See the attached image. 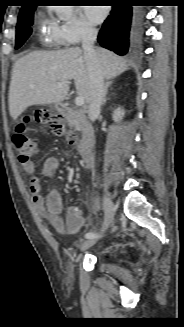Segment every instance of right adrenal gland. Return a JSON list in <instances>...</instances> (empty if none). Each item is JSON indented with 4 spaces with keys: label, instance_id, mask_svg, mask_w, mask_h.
Segmentation results:
<instances>
[{
    "label": "right adrenal gland",
    "instance_id": "2a0ac1e0",
    "mask_svg": "<svg viewBox=\"0 0 184 327\" xmlns=\"http://www.w3.org/2000/svg\"><path fill=\"white\" fill-rule=\"evenodd\" d=\"M111 82H107L105 84V91H104V96H103V101H102V105H105V103L107 102V94H108V88L110 87Z\"/></svg>",
    "mask_w": 184,
    "mask_h": 327
}]
</instances>
